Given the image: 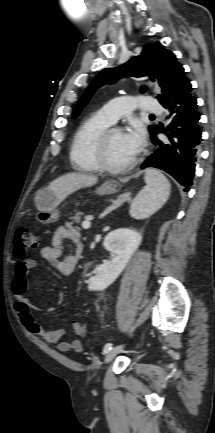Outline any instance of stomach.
Returning a JSON list of instances; mask_svg holds the SVG:
<instances>
[{
  "instance_id": "0dacf381",
  "label": "stomach",
  "mask_w": 215,
  "mask_h": 433,
  "mask_svg": "<svg viewBox=\"0 0 215 433\" xmlns=\"http://www.w3.org/2000/svg\"><path fill=\"white\" fill-rule=\"evenodd\" d=\"M120 186L114 181H107L97 188L98 195H110L119 191ZM36 205L39 210L37 219L42 224L56 222L60 216L57 205L59 200L50 188L41 189L36 193Z\"/></svg>"
}]
</instances>
